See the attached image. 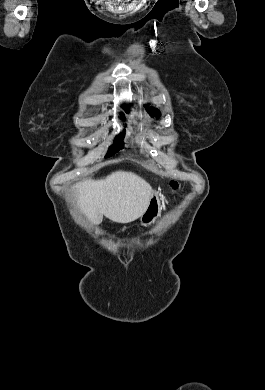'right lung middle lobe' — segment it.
Wrapping results in <instances>:
<instances>
[{"mask_svg":"<svg viewBox=\"0 0 265 390\" xmlns=\"http://www.w3.org/2000/svg\"><path fill=\"white\" fill-rule=\"evenodd\" d=\"M120 140H121V136H117L115 138L114 141L115 144L110 147L108 153L105 156L106 158L112 156L113 154L119 151L118 149H121L123 147V143Z\"/></svg>","mask_w":265,"mask_h":390,"instance_id":"right-lung-middle-lobe-1","label":"right lung middle lobe"}]
</instances>
